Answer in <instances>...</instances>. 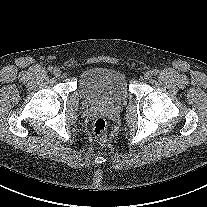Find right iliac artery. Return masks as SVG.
Listing matches in <instances>:
<instances>
[{
	"instance_id": "82829eb1",
	"label": "right iliac artery",
	"mask_w": 207,
	"mask_h": 207,
	"mask_svg": "<svg viewBox=\"0 0 207 207\" xmlns=\"http://www.w3.org/2000/svg\"><path fill=\"white\" fill-rule=\"evenodd\" d=\"M48 71L52 72L53 71V67L52 66H49L48 67Z\"/></svg>"
}]
</instances>
